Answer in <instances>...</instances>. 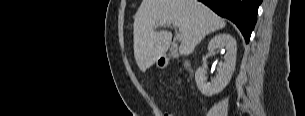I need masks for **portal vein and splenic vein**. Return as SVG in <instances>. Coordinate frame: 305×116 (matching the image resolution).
<instances>
[{
  "instance_id": "1",
  "label": "portal vein and splenic vein",
  "mask_w": 305,
  "mask_h": 116,
  "mask_svg": "<svg viewBox=\"0 0 305 116\" xmlns=\"http://www.w3.org/2000/svg\"><path fill=\"white\" fill-rule=\"evenodd\" d=\"M159 24H160V25H169V23L166 22V21H160ZM173 26H174V28L176 29V25L173 24ZM176 38L179 39V40L182 39V35H181L180 33H178L177 31H176Z\"/></svg>"
}]
</instances>
